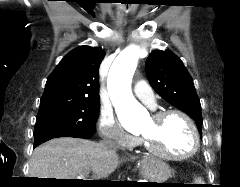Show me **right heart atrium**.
I'll use <instances>...</instances> for the list:
<instances>
[{"label":"right heart atrium","instance_id":"d8ad5b80","mask_svg":"<svg viewBox=\"0 0 240 187\" xmlns=\"http://www.w3.org/2000/svg\"><path fill=\"white\" fill-rule=\"evenodd\" d=\"M98 131L101 139L117 147H132L138 140L126 134L116 122L111 112H102L98 119Z\"/></svg>","mask_w":240,"mask_h":187}]
</instances>
